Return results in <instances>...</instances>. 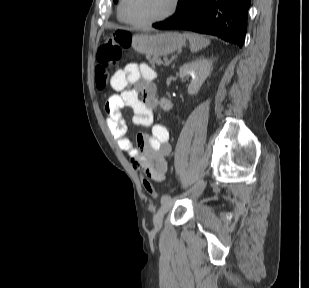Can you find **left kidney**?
Instances as JSON below:
<instances>
[{
    "label": "left kidney",
    "mask_w": 309,
    "mask_h": 288,
    "mask_svg": "<svg viewBox=\"0 0 309 288\" xmlns=\"http://www.w3.org/2000/svg\"><path fill=\"white\" fill-rule=\"evenodd\" d=\"M212 67V62L207 58H199L194 61L185 63L179 69L180 78H185L186 76H191L192 80L188 85V94H196L208 75L210 74ZM160 106L163 110L169 111L172 109L173 104L170 100L162 98L160 100Z\"/></svg>",
    "instance_id": "1"
}]
</instances>
